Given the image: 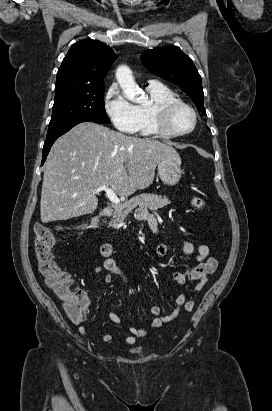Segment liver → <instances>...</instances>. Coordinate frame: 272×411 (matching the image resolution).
Returning <instances> with one entry per match:
<instances>
[{"instance_id":"6515ba94","label":"liver","mask_w":272,"mask_h":411,"mask_svg":"<svg viewBox=\"0 0 272 411\" xmlns=\"http://www.w3.org/2000/svg\"><path fill=\"white\" fill-rule=\"evenodd\" d=\"M181 163L172 146L127 136L92 122L76 125L53 144L42 184V223L68 220L94 212L97 187L106 185L120 196L149 187L157 163Z\"/></svg>"}]
</instances>
